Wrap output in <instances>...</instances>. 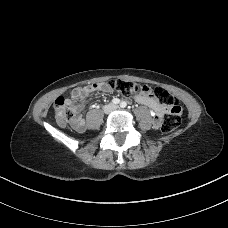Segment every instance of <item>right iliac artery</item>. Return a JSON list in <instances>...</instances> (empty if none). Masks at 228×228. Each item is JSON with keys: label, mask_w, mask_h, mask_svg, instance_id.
<instances>
[{"label": "right iliac artery", "mask_w": 228, "mask_h": 228, "mask_svg": "<svg viewBox=\"0 0 228 228\" xmlns=\"http://www.w3.org/2000/svg\"><path fill=\"white\" fill-rule=\"evenodd\" d=\"M112 103L113 104H119L120 103V100L118 98H113L112 99Z\"/></svg>", "instance_id": "1"}]
</instances>
